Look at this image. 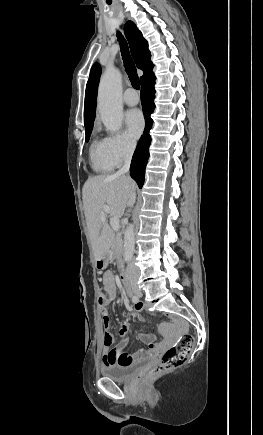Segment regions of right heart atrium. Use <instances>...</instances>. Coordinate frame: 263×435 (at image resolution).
Listing matches in <instances>:
<instances>
[{
    "label": "right heart atrium",
    "instance_id": "d8ad5b80",
    "mask_svg": "<svg viewBox=\"0 0 263 435\" xmlns=\"http://www.w3.org/2000/svg\"><path fill=\"white\" fill-rule=\"evenodd\" d=\"M104 139L109 157L115 165L129 159L135 150L134 141L122 132L110 134Z\"/></svg>",
    "mask_w": 263,
    "mask_h": 435
}]
</instances>
